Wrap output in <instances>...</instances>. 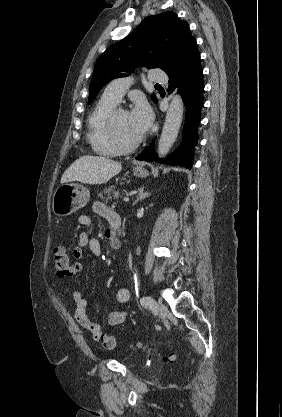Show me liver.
I'll return each mask as SVG.
<instances>
[{"label": "liver", "mask_w": 282, "mask_h": 417, "mask_svg": "<svg viewBox=\"0 0 282 417\" xmlns=\"http://www.w3.org/2000/svg\"><path fill=\"white\" fill-rule=\"evenodd\" d=\"M120 170H122V164L117 160H111L106 156L84 154L68 166L62 174L60 182L79 180L84 184H103V182H108L112 176L118 174Z\"/></svg>", "instance_id": "1"}]
</instances>
